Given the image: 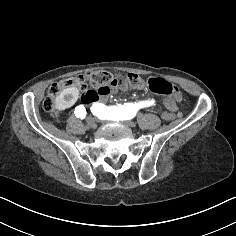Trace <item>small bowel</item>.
Here are the masks:
<instances>
[{"mask_svg": "<svg viewBox=\"0 0 236 236\" xmlns=\"http://www.w3.org/2000/svg\"><path fill=\"white\" fill-rule=\"evenodd\" d=\"M179 100L178 99H170V100H167L165 102V106L167 109L169 110H175L176 107H177V101ZM149 103H148V108L150 110H153V111H158L159 110V106L157 104V101L155 99H149L147 100Z\"/></svg>", "mask_w": 236, "mask_h": 236, "instance_id": "obj_1", "label": "small bowel"}]
</instances>
